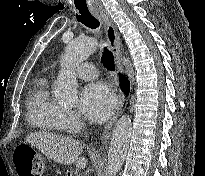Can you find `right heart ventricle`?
Returning <instances> with one entry per match:
<instances>
[{
	"label": "right heart ventricle",
	"instance_id": "1",
	"mask_svg": "<svg viewBox=\"0 0 205 176\" xmlns=\"http://www.w3.org/2000/svg\"><path fill=\"white\" fill-rule=\"evenodd\" d=\"M27 103L32 127L53 135L64 132L63 107L52 96L48 78L40 77L33 82Z\"/></svg>",
	"mask_w": 205,
	"mask_h": 176
}]
</instances>
